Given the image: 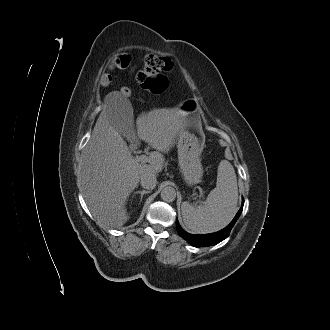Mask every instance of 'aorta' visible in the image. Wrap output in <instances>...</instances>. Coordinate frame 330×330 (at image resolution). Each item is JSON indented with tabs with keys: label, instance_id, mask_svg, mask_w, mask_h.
<instances>
[{
	"label": "aorta",
	"instance_id": "obj_1",
	"mask_svg": "<svg viewBox=\"0 0 330 330\" xmlns=\"http://www.w3.org/2000/svg\"><path fill=\"white\" fill-rule=\"evenodd\" d=\"M161 198L165 202H173L176 198V190L172 186H166L161 191Z\"/></svg>",
	"mask_w": 330,
	"mask_h": 330
}]
</instances>
